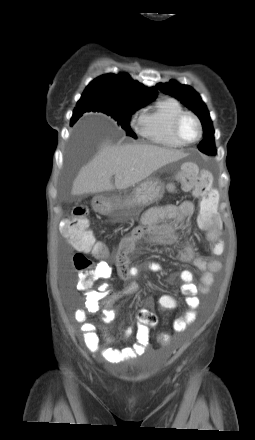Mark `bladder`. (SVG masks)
<instances>
[{"label": "bladder", "mask_w": 255, "mask_h": 440, "mask_svg": "<svg viewBox=\"0 0 255 440\" xmlns=\"http://www.w3.org/2000/svg\"><path fill=\"white\" fill-rule=\"evenodd\" d=\"M151 366L150 365H140V366H128L127 368H125L123 370V372L127 373V374H133V375H142V374H147L149 373V371L151 370Z\"/></svg>", "instance_id": "1"}]
</instances>
